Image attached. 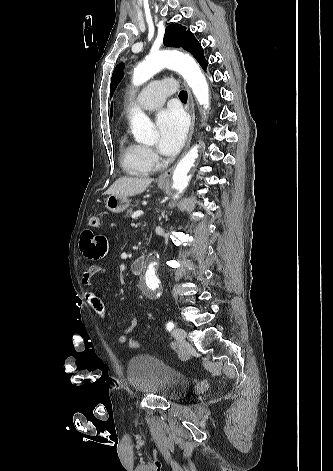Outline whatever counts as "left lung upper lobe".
I'll return each instance as SVG.
<instances>
[{"label": "left lung upper lobe", "mask_w": 333, "mask_h": 471, "mask_svg": "<svg viewBox=\"0 0 333 471\" xmlns=\"http://www.w3.org/2000/svg\"><path fill=\"white\" fill-rule=\"evenodd\" d=\"M164 45L184 48L189 51L199 63L204 60L203 49L194 38L192 32L190 30L186 31V29L179 24H170L167 26L164 36ZM123 75V65H117L111 78L110 96H112Z\"/></svg>", "instance_id": "1"}]
</instances>
